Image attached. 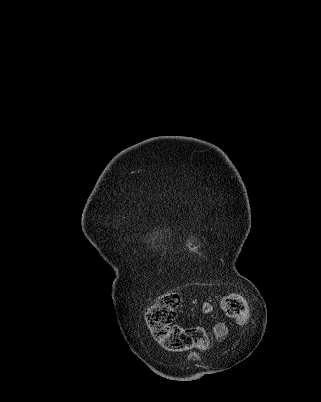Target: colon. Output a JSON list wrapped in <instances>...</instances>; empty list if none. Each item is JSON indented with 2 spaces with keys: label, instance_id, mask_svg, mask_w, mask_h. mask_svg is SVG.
<instances>
[{
  "label": "colon",
  "instance_id": "obj_1",
  "mask_svg": "<svg viewBox=\"0 0 321 402\" xmlns=\"http://www.w3.org/2000/svg\"><path fill=\"white\" fill-rule=\"evenodd\" d=\"M180 302V295L171 291L160 296L146 309L145 323L152 339L169 352L208 349L211 345V339L203 327L173 324ZM221 308L227 316L240 323H244L248 319V304L244 297L238 293L223 296Z\"/></svg>",
  "mask_w": 321,
  "mask_h": 402
}]
</instances>
